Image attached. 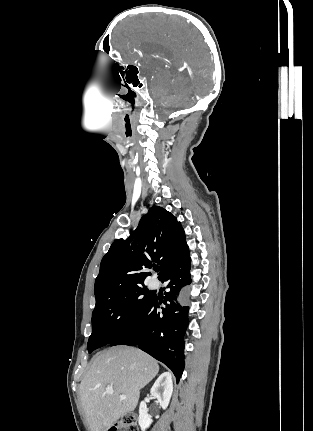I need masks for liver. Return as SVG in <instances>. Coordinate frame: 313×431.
I'll list each match as a JSON object with an SVG mask.
<instances>
[{
    "mask_svg": "<svg viewBox=\"0 0 313 431\" xmlns=\"http://www.w3.org/2000/svg\"><path fill=\"white\" fill-rule=\"evenodd\" d=\"M159 372L157 361L145 352L115 346L99 352L80 383V398L91 431H107L135 410L140 390ZM113 388L108 394L106 388ZM121 395L126 399H121Z\"/></svg>",
    "mask_w": 313,
    "mask_h": 431,
    "instance_id": "obj_1",
    "label": "liver"
}]
</instances>
